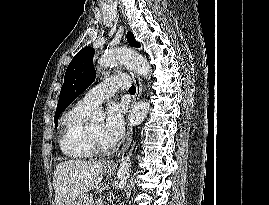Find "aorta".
<instances>
[{
  "mask_svg": "<svg viewBox=\"0 0 269 205\" xmlns=\"http://www.w3.org/2000/svg\"><path fill=\"white\" fill-rule=\"evenodd\" d=\"M99 64L102 67L113 66L117 64H124L134 70L136 73L147 78L151 74V66L147 59L141 54L126 48H118L109 50L104 53L99 59ZM150 109L149 101H140L132 109L129 122L132 125H139L146 118ZM94 120L97 118L94 117ZM131 160L129 156L122 159L120 168L117 172V181L115 183L118 189L125 187L126 182L130 176Z\"/></svg>",
  "mask_w": 269,
  "mask_h": 205,
  "instance_id": "1",
  "label": "aorta"
}]
</instances>
